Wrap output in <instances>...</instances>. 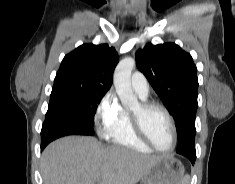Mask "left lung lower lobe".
Wrapping results in <instances>:
<instances>
[{"mask_svg": "<svg viewBox=\"0 0 235 184\" xmlns=\"http://www.w3.org/2000/svg\"><path fill=\"white\" fill-rule=\"evenodd\" d=\"M180 154L187 157L192 162V164L194 165L195 160H196V153L184 152V153H180Z\"/></svg>", "mask_w": 235, "mask_h": 184, "instance_id": "0a47b994", "label": "left lung lower lobe"}]
</instances>
